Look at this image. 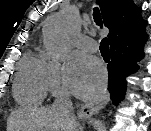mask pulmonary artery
<instances>
[{
  "label": "pulmonary artery",
  "instance_id": "e3ab8cb5",
  "mask_svg": "<svg viewBox=\"0 0 151 131\" xmlns=\"http://www.w3.org/2000/svg\"><path fill=\"white\" fill-rule=\"evenodd\" d=\"M81 47L86 51H94L95 50V44L94 42L89 38H84L81 41Z\"/></svg>",
  "mask_w": 151,
  "mask_h": 131
}]
</instances>
